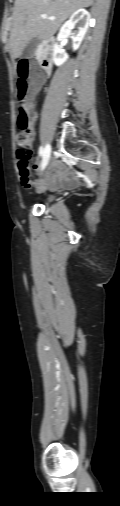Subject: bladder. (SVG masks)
I'll list each match as a JSON object with an SVG mask.
<instances>
[{
  "mask_svg": "<svg viewBox=\"0 0 120 506\" xmlns=\"http://www.w3.org/2000/svg\"><path fill=\"white\" fill-rule=\"evenodd\" d=\"M53 197H54L53 194H48L45 199L46 200H51Z\"/></svg>",
  "mask_w": 120,
  "mask_h": 506,
  "instance_id": "1",
  "label": "bladder"
}]
</instances>
